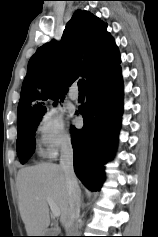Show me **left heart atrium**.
<instances>
[{"instance_id":"1","label":"left heart atrium","mask_w":158,"mask_h":237,"mask_svg":"<svg viewBox=\"0 0 158 237\" xmlns=\"http://www.w3.org/2000/svg\"><path fill=\"white\" fill-rule=\"evenodd\" d=\"M75 123H78V120H75Z\"/></svg>"}]
</instances>
